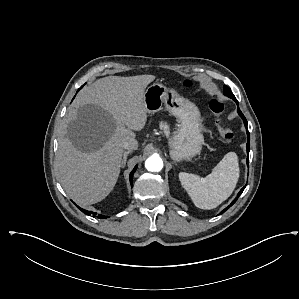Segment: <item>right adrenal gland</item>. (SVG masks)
Wrapping results in <instances>:
<instances>
[{"instance_id":"right-adrenal-gland-1","label":"right adrenal gland","mask_w":299,"mask_h":299,"mask_svg":"<svg viewBox=\"0 0 299 299\" xmlns=\"http://www.w3.org/2000/svg\"><path fill=\"white\" fill-rule=\"evenodd\" d=\"M131 153V151H125L123 154V159H122V167H125L126 165V160H127V156Z\"/></svg>"}]
</instances>
